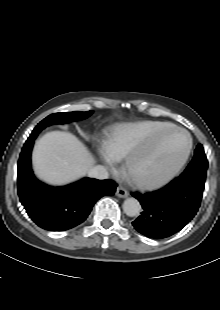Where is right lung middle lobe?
I'll list each match as a JSON object with an SVG mask.
<instances>
[{
  "instance_id": "1",
  "label": "right lung middle lobe",
  "mask_w": 220,
  "mask_h": 310,
  "mask_svg": "<svg viewBox=\"0 0 220 310\" xmlns=\"http://www.w3.org/2000/svg\"><path fill=\"white\" fill-rule=\"evenodd\" d=\"M92 114V111L88 112H63V113H55L51 114L45 119H43L33 130L32 134H38L42 129H44L46 126L52 125V124H62V123H68L71 121H77L87 118Z\"/></svg>"
}]
</instances>
